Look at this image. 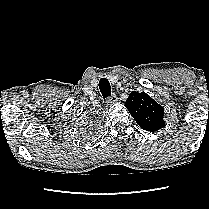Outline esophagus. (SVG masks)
Listing matches in <instances>:
<instances>
[{"instance_id": "esophagus-1", "label": "esophagus", "mask_w": 209, "mask_h": 209, "mask_svg": "<svg viewBox=\"0 0 209 209\" xmlns=\"http://www.w3.org/2000/svg\"><path fill=\"white\" fill-rule=\"evenodd\" d=\"M117 101H118V97L115 94L107 98V103L109 104H114Z\"/></svg>"}]
</instances>
